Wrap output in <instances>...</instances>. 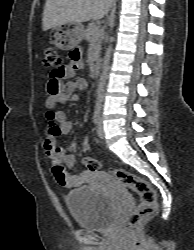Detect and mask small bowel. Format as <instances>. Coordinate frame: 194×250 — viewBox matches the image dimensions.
<instances>
[{"label":"small bowel","instance_id":"small-bowel-1","mask_svg":"<svg viewBox=\"0 0 194 250\" xmlns=\"http://www.w3.org/2000/svg\"><path fill=\"white\" fill-rule=\"evenodd\" d=\"M82 65L81 60L77 62L71 60L69 64L55 70L47 83L48 97L45 100V106L48 112L43 148L50 160L54 177L60 185L67 188L81 186L91 177L88 170H84L78 175L70 173L75 164L73 150L76 142L73 141L65 147L58 146L56 142L58 135L70 133L73 122L65 112L55 110V106L76 101L78 96L75 91L87 87V81L83 78L71 80L75 71Z\"/></svg>","mask_w":194,"mask_h":250}]
</instances>
